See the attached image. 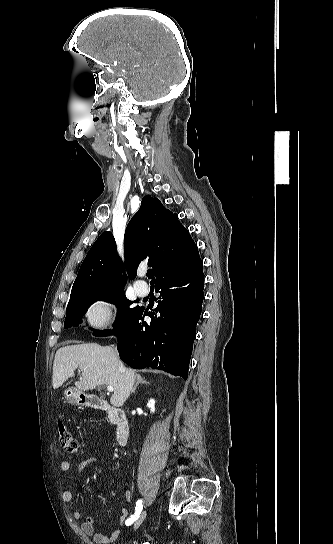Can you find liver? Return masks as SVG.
I'll return each instance as SVG.
<instances>
[{"label": "liver", "mask_w": 333, "mask_h": 544, "mask_svg": "<svg viewBox=\"0 0 333 544\" xmlns=\"http://www.w3.org/2000/svg\"><path fill=\"white\" fill-rule=\"evenodd\" d=\"M79 367L82 371L75 387L81 392L93 390L97 386H113L110 403L121 407L126 402L139 376L134 370L126 368L119 361L116 351L97 343H86L61 347L55 354L53 363V389H57Z\"/></svg>", "instance_id": "liver-1"}]
</instances>
